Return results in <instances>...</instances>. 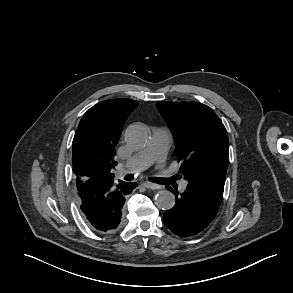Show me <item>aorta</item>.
I'll list each match as a JSON object with an SVG mask.
<instances>
[{"mask_svg":"<svg viewBox=\"0 0 293 293\" xmlns=\"http://www.w3.org/2000/svg\"><path fill=\"white\" fill-rule=\"evenodd\" d=\"M125 138L129 146L142 148L149 140V132L144 125L134 124L127 129ZM155 201L160 209L169 210L175 205V196L168 190H161L157 193Z\"/></svg>","mask_w":293,"mask_h":293,"instance_id":"obj_1","label":"aorta"}]
</instances>
